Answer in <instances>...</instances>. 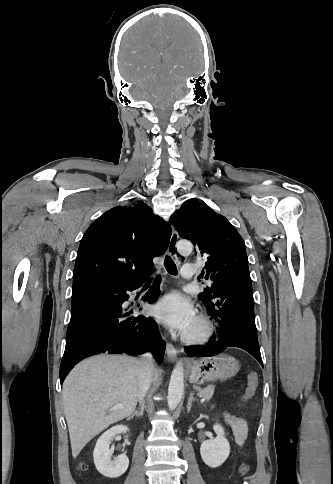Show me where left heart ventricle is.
Listing matches in <instances>:
<instances>
[{"label":"left heart ventricle","instance_id":"obj_1","mask_svg":"<svg viewBox=\"0 0 333 484\" xmlns=\"http://www.w3.org/2000/svg\"><path fill=\"white\" fill-rule=\"evenodd\" d=\"M200 330H201L200 323L196 319L189 327V329L186 331V333L189 335H195V334H198Z\"/></svg>","mask_w":333,"mask_h":484}]
</instances>
